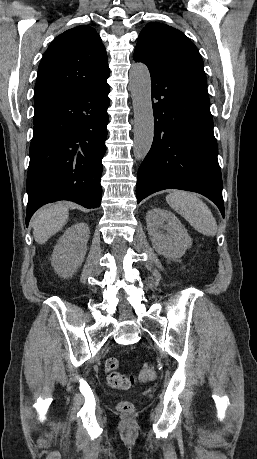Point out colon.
<instances>
[{
    "label": "colon",
    "instance_id": "5ec220e1",
    "mask_svg": "<svg viewBox=\"0 0 257 459\" xmlns=\"http://www.w3.org/2000/svg\"><path fill=\"white\" fill-rule=\"evenodd\" d=\"M119 362L116 358H108L104 364L107 381L110 386L120 389H129L136 382L133 375H124L118 372ZM156 378V369L153 363H145L139 374L138 380L141 382H151ZM119 411L124 414H131L134 410L130 401H122L118 405Z\"/></svg>",
    "mask_w": 257,
    "mask_h": 459
}]
</instances>
